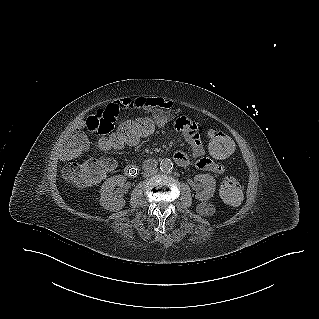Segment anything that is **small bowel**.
Masks as SVG:
<instances>
[{
    "instance_id": "obj_1",
    "label": "small bowel",
    "mask_w": 319,
    "mask_h": 319,
    "mask_svg": "<svg viewBox=\"0 0 319 319\" xmlns=\"http://www.w3.org/2000/svg\"><path fill=\"white\" fill-rule=\"evenodd\" d=\"M170 107V102L163 98L112 99L104 105H98L92 115L74 126L73 131L77 133L85 128L94 134L109 135L114 132L116 122L122 119L127 109ZM174 121V129L178 130L180 135H185L192 153L190 158L184 151L176 152L174 155L176 162L182 166H195L199 169L222 173L223 166L205 156L197 131V122L190 121L189 115H175Z\"/></svg>"
}]
</instances>
